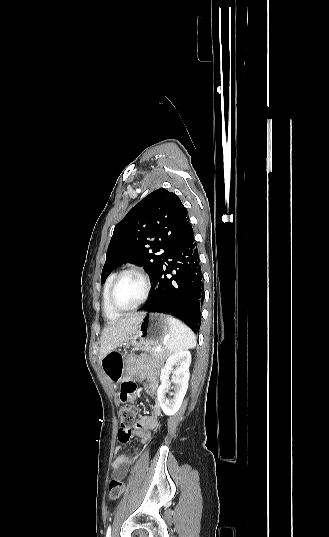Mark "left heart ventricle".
I'll return each instance as SVG.
<instances>
[{"mask_svg": "<svg viewBox=\"0 0 329 537\" xmlns=\"http://www.w3.org/2000/svg\"><path fill=\"white\" fill-rule=\"evenodd\" d=\"M144 293V283L135 274L125 275L118 283L114 294V301L121 308L135 305Z\"/></svg>", "mask_w": 329, "mask_h": 537, "instance_id": "b2bd125f", "label": "left heart ventricle"}]
</instances>
